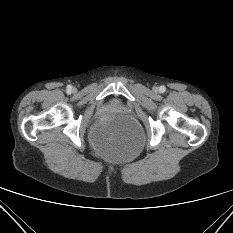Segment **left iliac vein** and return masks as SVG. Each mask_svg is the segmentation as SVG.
<instances>
[{
  "label": "left iliac vein",
  "instance_id": "obj_1",
  "mask_svg": "<svg viewBox=\"0 0 233 233\" xmlns=\"http://www.w3.org/2000/svg\"><path fill=\"white\" fill-rule=\"evenodd\" d=\"M158 90V88H155V91H157Z\"/></svg>",
  "mask_w": 233,
  "mask_h": 233
}]
</instances>
